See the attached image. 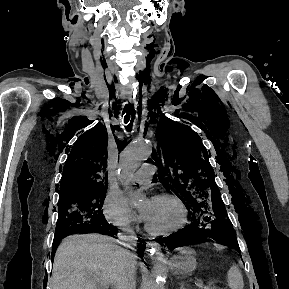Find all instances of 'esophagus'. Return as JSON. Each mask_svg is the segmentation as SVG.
Segmentation results:
<instances>
[{
  "label": "esophagus",
  "instance_id": "1",
  "mask_svg": "<svg viewBox=\"0 0 289 289\" xmlns=\"http://www.w3.org/2000/svg\"><path fill=\"white\" fill-rule=\"evenodd\" d=\"M146 251L151 257L159 258L161 256V246L155 241L146 243Z\"/></svg>",
  "mask_w": 289,
  "mask_h": 289
}]
</instances>
